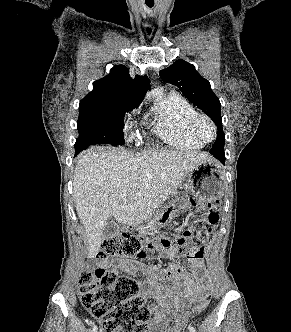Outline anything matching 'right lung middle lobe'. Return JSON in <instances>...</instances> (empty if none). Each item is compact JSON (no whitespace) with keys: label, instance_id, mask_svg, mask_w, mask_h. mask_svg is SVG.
Returning a JSON list of instances; mask_svg holds the SVG:
<instances>
[{"label":"right lung middle lobe","instance_id":"obj_1","mask_svg":"<svg viewBox=\"0 0 291 332\" xmlns=\"http://www.w3.org/2000/svg\"><path fill=\"white\" fill-rule=\"evenodd\" d=\"M141 101L127 99H88L79 104L77 127L79 137L75 151L93 144L120 145L124 141V115L138 107Z\"/></svg>","mask_w":291,"mask_h":332}]
</instances>
